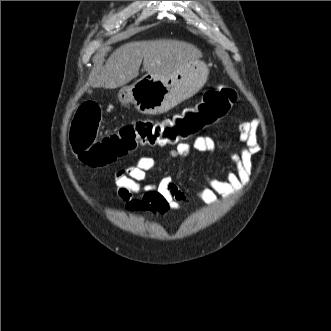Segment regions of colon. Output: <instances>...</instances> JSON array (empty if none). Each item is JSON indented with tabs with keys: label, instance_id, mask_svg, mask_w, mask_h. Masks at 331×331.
Instances as JSON below:
<instances>
[{
	"label": "colon",
	"instance_id": "colon-1",
	"mask_svg": "<svg viewBox=\"0 0 331 331\" xmlns=\"http://www.w3.org/2000/svg\"><path fill=\"white\" fill-rule=\"evenodd\" d=\"M236 97L234 89L220 86L207 91L196 106L180 114L163 120H138L101 138L97 137L101 108L88 100L80 105L71 123L72 151L83 164L101 167L116 162L139 145H173L225 117Z\"/></svg>",
	"mask_w": 331,
	"mask_h": 331
}]
</instances>
